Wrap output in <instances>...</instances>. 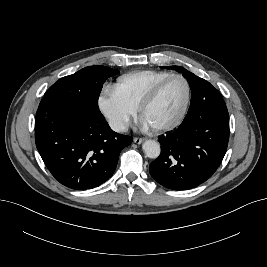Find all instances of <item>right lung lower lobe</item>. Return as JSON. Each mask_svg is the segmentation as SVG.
<instances>
[{
    "label": "right lung lower lobe",
    "mask_w": 267,
    "mask_h": 267,
    "mask_svg": "<svg viewBox=\"0 0 267 267\" xmlns=\"http://www.w3.org/2000/svg\"><path fill=\"white\" fill-rule=\"evenodd\" d=\"M37 149L54 178L75 190L100 186L114 173L132 137L114 132L100 113L43 98L35 119Z\"/></svg>",
    "instance_id": "98d812e1"
}]
</instances>
